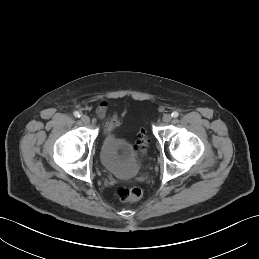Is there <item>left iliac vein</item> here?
<instances>
[{"label": "left iliac vein", "mask_w": 259, "mask_h": 259, "mask_svg": "<svg viewBox=\"0 0 259 259\" xmlns=\"http://www.w3.org/2000/svg\"><path fill=\"white\" fill-rule=\"evenodd\" d=\"M162 120L164 123H169L172 120V116L170 114H165Z\"/></svg>", "instance_id": "obj_1"}]
</instances>
